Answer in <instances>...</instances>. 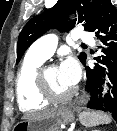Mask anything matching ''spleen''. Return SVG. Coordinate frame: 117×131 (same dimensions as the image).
Returning a JSON list of instances; mask_svg holds the SVG:
<instances>
[{
  "label": "spleen",
  "mask_w": 117,
  "mask_h": 131,
  "mask_svg": "<svg viewBox=\"0 0 117 131\" xmlns=\"http://www.w3.org/2000/svg\"><path fill=\"white\" fill-rule=\"evenodd\" d=\"M80 120L85 126H98L103 124H109L112 119L109 115L103 112H82L80 114Z\"/></svg>",
  "instance_id": "1"
}]
</instances>
